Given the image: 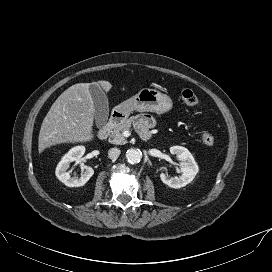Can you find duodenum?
I'll return each instance as SVG.
<instances>
[{"label": "duodenum", "instance_id": "1", "mask_svg": "<svg viewBox=\"0 0 272 272\" xmlns=\"http://www.w3.org/2000/svg\"><path fill=\"white\" fill-rule=\"evenodd\" d=\"M124 118V114L121 110H115L106 124L98 131V136L101 139H105L110 134L111 130Z\"/></svg>", "mask_w": 272, "mask_h": 272}]
</instances>
